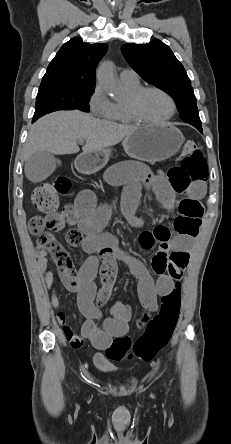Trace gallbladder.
Segmentation results:
<instances>
[{"instance_id": "1", "label": "gallbladder", "mask_w": 231, "mask_h": 444, "mask_svg": "<svg viewBox=\"0 0 231 444\" xmlns=\"http://www.w3.org/2000/svg\"><path fill=\"white\" fill-rule=\"evenodd\" d=\"M55 168V158L52 153L37 151L26 160L24 171L30 181L41 182L50 176Z\"/></svg>"}]
</instances>
